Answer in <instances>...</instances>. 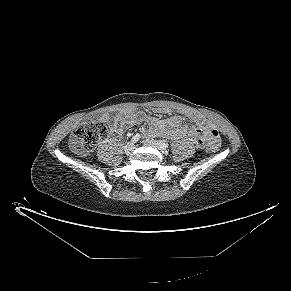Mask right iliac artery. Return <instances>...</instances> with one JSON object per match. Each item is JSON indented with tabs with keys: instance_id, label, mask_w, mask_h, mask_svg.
<instances>
[{
	"instance_id": "obj_1",
	"label": "right iliac artery",
	"mask_w": 291,
	"mask_h": 291,
	"mask_svg": "<svg viewBox=\"0 0 291 291\" xmlns=\"http://www.w3.org/2000/svg\"><path fill=\"white\" fill-rule=\"evenodd\" d=\"M140 139V135L139 134H135L133 137H132V142L133 143H136L138 140Z\"/></svg>"
}]
</instances>
